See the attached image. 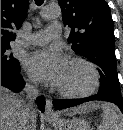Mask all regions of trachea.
<instances>
[{"instance_id":"1","label":"trachea","mask_w":123,"mask_h":130,"mask_svg":"<svg viewBox=\"0 0 123 130\" xmlns=\"http://www.w3.org/2000/svg\"><path fill=\"white\" fill-rule=\"evenodd\" d=\"M35 2L38 6H40L43 4L44 0H35Z\"/></svg>"}]
</instances>
